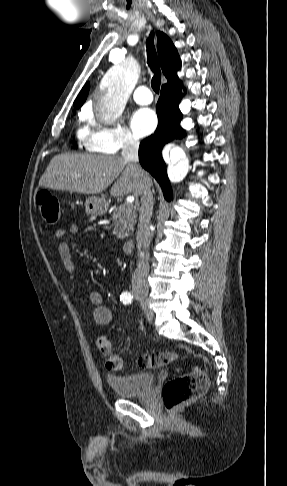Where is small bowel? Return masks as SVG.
<instances>
[{"label": "small bowel", "mask_w": 287, "mask_h": 486, "mask_svg": "<svg viewBox=\"0 0 287 486\" xmlns=\"http://www.w3.org/2000/svg\"><path fill=\"white\" fill-rule=\"evenodd\" d=\"M78 231L77 225H72L69 230L57 229L54 232V238L59 241L58 252L60 254L61 261L65 270L69 273L70 277L74 281L79 280V276L75 270L74 263L72 261L71 251L69 244L64 240L65 236L70 233L74 234ZM89 300L95 306L93 311L94 321L101 326L108 325L112 321V311L103 304V297L99 292L92 291L89 293Z\"/></svg>", "instance_id": "small-bowel-1"}]
</instances>
